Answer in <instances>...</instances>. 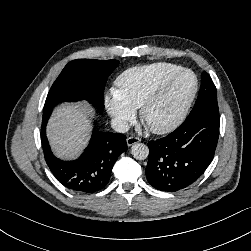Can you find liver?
I'll use <instances>...</instances> for the list:
<instances>
[{"label":"liver","mask_w":251,"mask_h":251,"mask_svg":"<svg viewBox=\"0 0 251 251\" xmlns=\"http://www.w3.org/2000/svg\"><path fill=\"white\" fill-rule=\"evenodd\" d=\"M92 114V109L82 104H64L54 110L47 136L58 157L73 159L82 152L91 132Z\"/></svg>","instance_id":"6515ba94"}]
</instances>
